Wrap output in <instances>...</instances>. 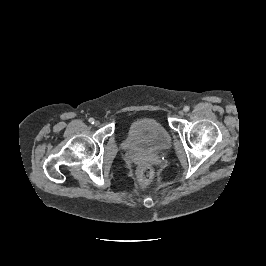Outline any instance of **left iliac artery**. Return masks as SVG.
Here are the masks:
<instances>
[{
  "label": "left iliac artery",
  "mask_w": 266,
  "mask_h": 266,
  "mask_svg": "<svg viewBox=\"0 0 266 266\" xmlns=\"http://www.w3.org/2000/svg\"><path fill=\"white\" fill-rule=\"evenodd\" d=\"M183 110H184L185 112H188V111L190 110V107H189V106H185V107L183 108Z\"/></svg>",
  "instance_id": "44dca946"
}]
</instances>
